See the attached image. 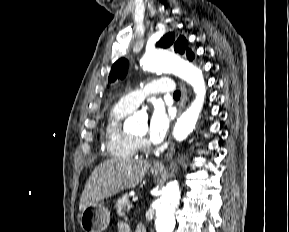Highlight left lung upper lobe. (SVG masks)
Returning <instances> with one entry per match:
<instances>
[{
  "instance_id": "1",
  "label": "left lung upper lobe",
  "mask_w": 289,
  "mask_h": 232,
  "mask_svg": "<svg viewBox=\"0 0 289 232\" xmlns=\"http://www.w3.org/2000/svg\"><path fill=\"white\" fill-rule=\"evenodd\" d=\"M156 46L162 47V48H168L170 46L174 47L175 52L180 54H186L187 58L189 60H193L194 54L192 51L188 48V42L183 37L180 36L179 38H176L174 33H168L164 35L157 43ZM129 63L128 60L125 58H120L117 60L110 71L108 80L109 82H114L115 80L124 79L127 72H128Z\"/></svg>"
}]
</instances>
